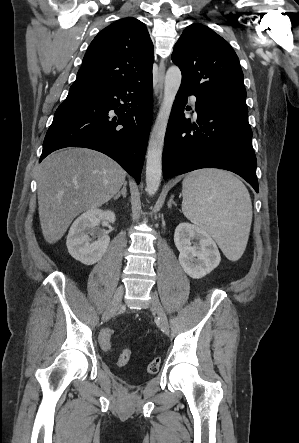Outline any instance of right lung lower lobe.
<instances>
[{
    "label": "right lung lower lobe",
    "mask_w": 299,
    "mask_h": 443,
    "mask_svg": "<svg viewBox=\"0 0 299 443\" xmlns=\"http://www.w3.org/2000/svg\"><path fill=\"white\" fill-rule=\"evenodd\" d=\"M152 110V76L114 86L70 90L55 112L39 162L57 149L90 148L117 161L140 183Z\"/></svg>",
    "instance_id": "right-lung-lower-lobe-1"
}]
</instances>
